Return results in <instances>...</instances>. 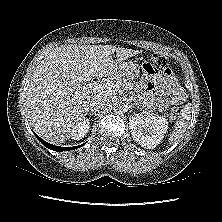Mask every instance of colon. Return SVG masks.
Returning a JSON list of instances; mask_svg holds the SVG:
<instances>
[{"label": "colon", "instance_id": "obj_1", "mask_svg": "<svg viewBox=\"0 0 222 222\" xmlns=\"http://www.w3.org/2000/svg\"><path fill=\"white\" fill-rule=\"evenodd\" d=\"M143 69L147 74H156L161 71L167 72L169 71L168 58L162 54L155 53L151 56L150 61L144 64ZM177 114V108L173 106L170 111V117L175 119Z\"/></svg>", "mask_w": 222, "mask_h": 222}]
</instances>
